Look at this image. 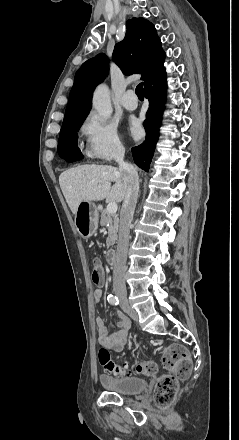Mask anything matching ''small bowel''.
I'll use <instances>...</instances> for the list:
<instances>
[{
    "mask_svg": "<svg viewBox=\"0 0 239 440\" xmlns=\"http://www.w3.org/2000/svg\"><path fill=\"white\" fill-rule=\"evenodd\" d=\"M103 292L102 289H96L94 292V300L99 303L102 300ZM98 341L103 349L112 351H121L125 346L128 338V332L130 327L129 319L123 314L117 313V327L118 331L114 333H109L106 326L105 320L102 317H98L95 321Z\"/></svg>",
    "mask_w": 239,
    "mask_h": 440,
    "instance_id": "small-bowel-1",
    "label": "small bowel"
}]
</instances>
